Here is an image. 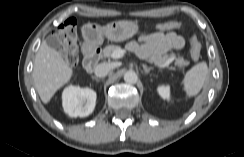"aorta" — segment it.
<instances>
[{"label":"aorta","mask_w":244,"mask_h":157,"mask_svg":"<svg viewBox=\"0 0 244 157\" xmlns=\"http://www.w3.org/2000/svg\"><path fill=\"white\" fill-rule=\"evenodd\" d=\"M138 80V76L135 71L129 70L124 74V81L130 84L136 83Z\"/></svg>","instance_id":"obj_1"}]
</instances>
